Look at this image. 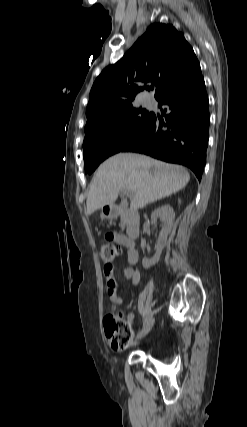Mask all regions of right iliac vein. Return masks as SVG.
<instances>
[{"label": "right iliac vein", "mask_w": 247, "mask_h": 427, "mask_svg": "<svg viewBox=\"0 0 247 427\" xmlns=\"http://www.w3.org/2000/svg\"><path fill=\"white\" fill-rule=\"evenodd\" d=\"M154 322H155V319L150 316V319L144 325L142 330L138 333L137 340L142 339L143 337H145L150 332V330L152 329V327L154 325Z\"/></svg>", "instance_id": "obj_1"}]
</instances>
